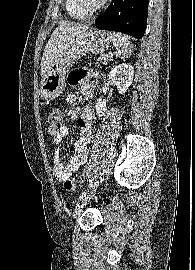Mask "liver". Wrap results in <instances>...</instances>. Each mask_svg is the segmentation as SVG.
I'll return each instance as SVG.
<instances>
[{
  "mask_svg": "<svg viewBox=\"0 0 195 270\" xmlns=\"http://www.w3.org/2000/svg\"><path fill=\"white\" fill-rule=\"evenodd\" d=\"M88 26L65 23L58 26L52 33L42 56L41 60V76L42 80L47 74L48 69L58 59L66 43L83 31L87 30Z\"/></svg>",
  "mask_w": 195,
  "mask_h": 270,
  "instance_id": "1",
  "label": "liver"
}]
</instances>
